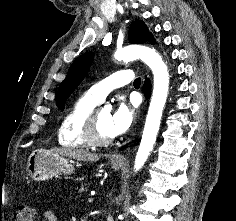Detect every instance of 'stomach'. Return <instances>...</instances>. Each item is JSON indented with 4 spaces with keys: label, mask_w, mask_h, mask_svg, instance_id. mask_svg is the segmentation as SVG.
<instances>
[{
    "label": "stomach",
    "mask_w": 236,
    "mask_h": 221,
    "mask_svg": "<svg viewBox=\"0 0 236 221\" xmlns=\"http://www.w3.org/2000/svg\"><path fill=\"white\" fill-rule=\"evenodd\" d=\"M112 168L119 170L121 163H111ZM26 171L35 181H44L60 174H72L74 172L73 161L62 155L46 150H36L28 157Z\"/></svg>",
    "instance_id": "obj_1"
}]
</instances>
